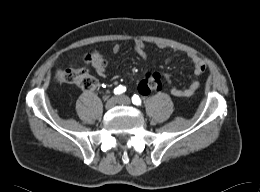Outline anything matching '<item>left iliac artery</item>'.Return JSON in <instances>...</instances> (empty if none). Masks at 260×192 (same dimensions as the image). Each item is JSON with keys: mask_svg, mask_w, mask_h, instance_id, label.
Wrapping results in <instances>:
<instances>
[{"mask_svg": "<svg viewBox=\"0 0 260 192\" xmlns=\"http://www.w3.org/2000/svg\"><path fill=\"white\" fill-rule=\"evenodd\" d=\"M132 102H133V104H135V105H137V106H140L141 103H142L140 97H139L138 95H136V94L133 95V97H132Z\"/></svg>", "mask_w": 260, "mask_h": 192, "instance_id": "44dca946", "label": "left iliac artery"}]
</instances>
